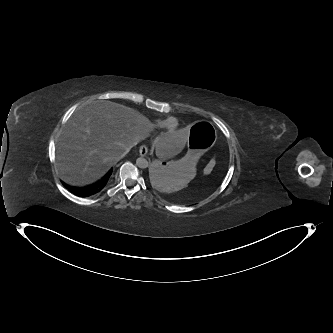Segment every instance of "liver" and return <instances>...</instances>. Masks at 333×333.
Masks as SVG:
<instances>
[{
	"label": "liver",
	"instance_id": "liver-1",
	"mask_svg": "<svg viewBox=\"0 0 333 333\" xmlns=\"http://www.w3.org/2000/svg\"><path fill=\"white\" fill-rule=\"evenodd\" d=\"M153 124L138 111L110 101H94L78 108L64 126L57 144V173L73 186L101 178L126 150L152 130ZM189 143L179 129L162 132L154 141L157 153L175 157Z\"/></svg>",
	"mask_w": 333,
	"mask_h": 333
}]
</instances>
